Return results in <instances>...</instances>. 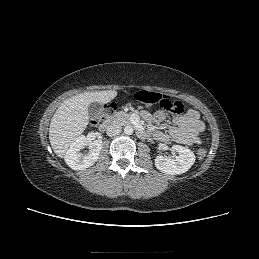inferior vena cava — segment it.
Returning <instances> with one entry per match:
<instances>
[{
  "label": "inferior vena cava",
  "instance_id": "obj_1",
  "mask_svg": "<svg viewBox=\"0 0 259 259\" xmlns=\"http://www.w3.org/2000/svg\"><path fill=\"white\" fill-rule=\"evenodd\" d=\"M122 131V127L121 125L117 124V123H111L108 127H107V135L112 137V136H116L119 133H121Z\"/></svg>",
  "mask_w": 259,
  "mask_h": 259
}]
</instances>
